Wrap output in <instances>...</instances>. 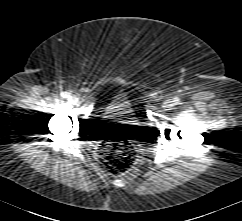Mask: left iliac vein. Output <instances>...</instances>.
I'll use <instances>...</instances> for the list:
<instances>
[{"label": "left iliac vein", "instance_id": "obj_1", "mask_svg": "<svg viewBox=\"0 0 242 221\" xmlns=\"http://www.w3.org/2000/svg\"><path fill=\"white\" fill-rule=\"evenodd\" d=\"M166 103H167V106H169L171 102H170V101H168V102H166Z\"/></svg>", "mask_w": 242, "mask_h": 221}]
</instances>
